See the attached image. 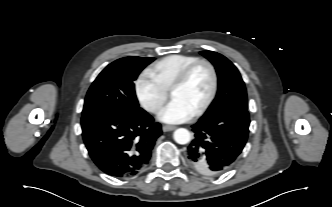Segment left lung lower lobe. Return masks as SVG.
Wrapping results in <instances>:
<instances>
[{"label":"left lung lower lobe","mask_w":332,"mask_h":207,"mask_svg":"<svg viewBox=\"0 0 332 207\" xmlns=\"http://www.w3.org/2000/svg\"><path fill=\"white\" fill-rule=\"evenodd\" d=\"M249 113L229 109L192 126L194 139L188 146L189 165L205 176H219L235 163L249 133Z\"/></svg>","instance_id":"0a47b994"}]
</instances>
